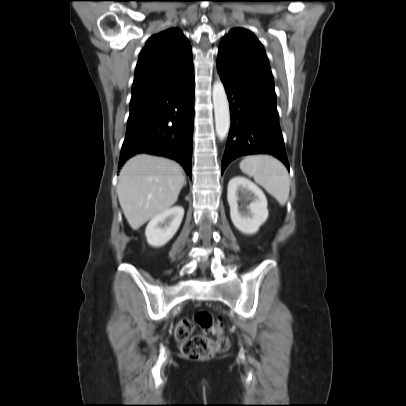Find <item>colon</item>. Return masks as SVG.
<instances>
[{
    "mask_svg": "<svg viewBox=\"0 0 406 406\" xmlns=\"http://www.w3.org/2000/svg\"><path fill=\"white\" fill-rule=\"evenodd\" d=\"M196 326L206 332L220 330L219 325L207 312H199L191 318L180 320L175 327V337L181 342V351L186 359H209L228 349L229 339L226 336L220 335L217 340H212L205 334L193 335Z\"/></svg>",
    "mask_w": 406,
    "mask_h": 406,
    "instance_id": "obj_1",
    "label": "colon"
}]
</instances>
